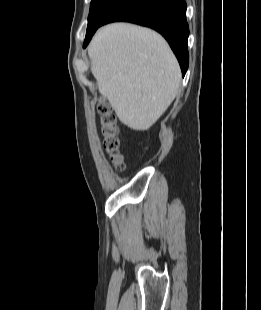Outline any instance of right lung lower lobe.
<instances>
[{"label":"right lung lower lobe","instance_id":"right-lung-lower-lobe-1","mask_svg":"<svg viewBox=\"0 0 261 310\" xmlns=\"http://www.w3.org/2000/svg\"><path fill=\"white\" fill-rule=\"evenodd\" d=\"M114 21L136 23L161 33L175 53L182 74L185 75L189 64L187 50L189 27L186 21L184 0H127L115 9L101 25ZM98 27L86 34L84 47L87 46Z\"/></svg>","mask_w":261,"mask_h":310}]
</instances>
